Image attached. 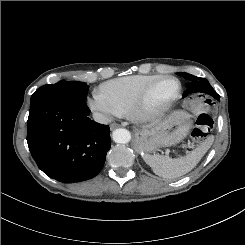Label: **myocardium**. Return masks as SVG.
I'll return each instance as SVG.
<instances>
[{"label":"myocardium","instance_id":"1","mask_svg":"<svg viewBox=\"0 0 245 245\" xmlns=\"http://www.w3.org/2000/svg\"><path fill=\"white\" fill-rule=\"evenodd\" d=\"M169 80L177 82V90L174 95L166 101L164 104L159 106L152 105V97L158 87ZM182 90V84L177 77L174 76H163L158 80L148 85L139 95L134 102L129 115L132 119L138 122H146L160 117L166 113L179 98Z\"/></svg>","mask_w":245,"mask_h":245}]
</instances>
